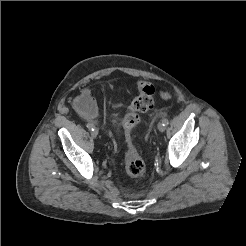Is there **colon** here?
<instances>
[{
	"instance_id": "colon-1",
	"label": "colon",
	"mask_w": 246,
	"mask_h": 246,
	"mask_svg": "<svg viewBox=\"0 0 246 246\" xmlns=\"http://www.w3.org/2000/svg\"><path fill=\"white\" fill-rule=\"evenodd\" d=\"M139 95L132 101L128 112L126 113L124 123L128 130L134 128L140 122L141 114L147 112L153 107L154 87L144 81L137 83ZM160 96L163 100H169L171 95L168 92L161 91ZM125 169L132 178H139L145 173V163L133 144L128 142L125 152Z\"/></svg>"
}]
</instances>
